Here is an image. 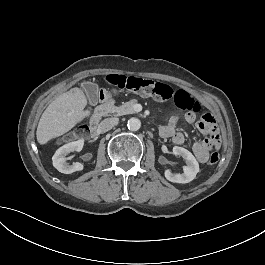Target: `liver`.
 I'll list each match as a JSON object with an SVG mask.
<instances>
[{
	"label": "liver",
	"mask_w": 265,
	"mask_h": 265,
	"mask_svg": "<svg viewBox=\"0 0 265 265\" xmlns=\"http://www.w3.org/2000/svg\"><path fill=\"white\" fill-rule=\"evenodd\" d=\"M87 99L77 87L61 94L43 112L38 123L36 136L40 144L59 137L71 130L78 122L90 115L84 110Z\"/></svg>",
	"instance_id": "1"
}]
</instances>
